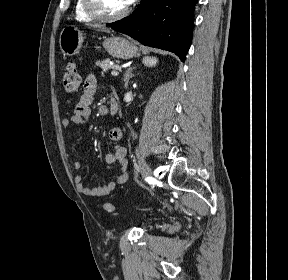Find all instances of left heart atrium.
I'll return each mask as SVG.
<instances>
[{
    "label": "left heart atrium",
    "instance_id": "left-heart-atrium-1",
    "mask_svg": "<svg viewBox=\"0 0 288 280\" xmlns=\"http://www.w3.org/2000/svg\"><path fill=\"white\" fill-rule=\"evenodd\" d=\"M133 2H134V0H124V3L126 6L130 5Z\"/></svg>",
    "mask_w": 288,
    "mask_h": 280
}]
</instances>
